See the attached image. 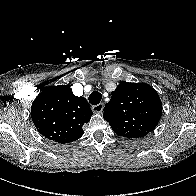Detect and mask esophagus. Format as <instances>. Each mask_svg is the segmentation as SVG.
<instances>
[{
  "mask_svg": "<svg viewBox=\"0 0 196 196\" xmlns=\"http://www.w3.org/2000/svg\"><path fill=\"white\" fill-rule=\"evenodd\" d=\"M103 108H104V104L103 103H99L97 105H93L92 106V111L94 113H102L103 112Z\"/></svg>",
  "mask_w": 196,
  "mask_h": 196,
  "instance_id": "esophagus-1",
  "label": "esophagus"
}]
</instances>
